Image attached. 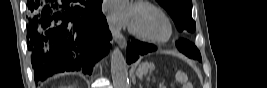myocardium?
<instances>
[{
  "mask_svg": "<svg viewBox=\"0 0 267 88\" xmlns=\"http://www.w3.org/2000/svg\"><path fill=\"white\" fill-rule=\"evenodd\" d=\"M140 8L149 10L153 12L154 14H156L158 17H160L167 26V33L163 37H153V36L147 35L139 31L132 25H130L129 27L130 33L144 41L154 43V44H163V43L170 41L173 37L174 30H173L172 23L170 19L167 17V15L162 10H160L159 8H157L156 6L148 2H137L134 5V9H140Z\"/></svg>",
  "mask_w": 267,
  "mask_h": 88,
  "instance_id": "obj_1",
  "label": "myocardium"
}]
</instances>
